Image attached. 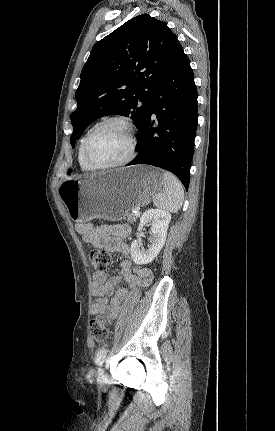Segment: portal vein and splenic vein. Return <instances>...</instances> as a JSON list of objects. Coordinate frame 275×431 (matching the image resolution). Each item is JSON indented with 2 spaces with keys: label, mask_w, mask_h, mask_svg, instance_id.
Wrapping results in <instances>:
<instances>
[{
  "label": "portal vein and splenic vein",
  "mask_w": 275,
  "mask_h": 431,
  "mask_svg": "<svg viewBox=\"0 0 275 431\" xmlns=\"http://www.w3.org/2000/svg\"><path fill=\"white\" fill-rule=\"evenodd\" d=\"M140 214H141V212L139 210H137V211L134 212L135 216H139Z\"/></svg>",
  "instance_id": "1"
}]
</instances>
